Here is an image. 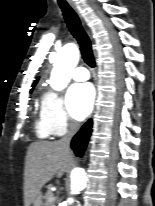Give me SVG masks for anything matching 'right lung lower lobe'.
I'll use <instances>...</instances> for the list:
<instances>
[{"label": "right lung lower lobe", "mask_w": 155, "mask_h": 206, "mask_svg": "<svg viewBox=\"0 0 155 206\" xmlns=\"http://www.w3.org/2000/svg\"><path fill=\"white\" fill-rule=\"evenodd\" d=\"M92 132V120H89L85 123L80 131L73 137L72 139V148L74 149L77 156L82 155L85 150L87 143L89 141V137Z\"/></svg>", "instance_id": "1"}]
</instances>
